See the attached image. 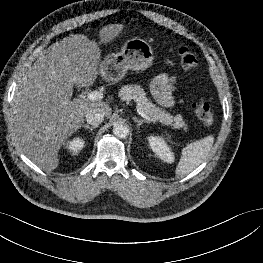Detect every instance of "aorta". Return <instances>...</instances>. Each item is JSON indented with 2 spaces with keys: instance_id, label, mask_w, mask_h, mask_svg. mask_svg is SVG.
<instances>
[{
  "instance_id": "1",
  "label": "aorta",
  "mask_w": 263,
  "mask_h": 263,
  "mask_svg": "<svg viewBox=\"0 0 263 263\" xmlns=\"http://www.w3.org/2000/svg\"><path fill=\"white\" fill-rule=\"evenodd\" d=\"M113 133L116 137L124 139L129 135V128L122 122H117L113 126Z\"/></svg>"
}]
</instances>
